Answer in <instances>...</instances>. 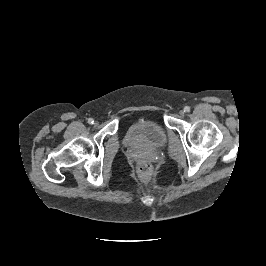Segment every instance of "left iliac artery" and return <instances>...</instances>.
<instances>
[{
	"label": "left iliac artery",
	"mask_w": 266,
	"mask_h": 266,
	"mask_svg": "<svg viewBox=\"0 0 266 266\" xmlns=\"http://www.w3.org/2000/svg\"><path fill=\"white\" fill-rule=\"evenodd\" d=\"M184 111H185V112H189V111H190V107H189V106H185V107H184Z\"/></svg>",
	"instance_id": "obj_1"
}]
</instances>
